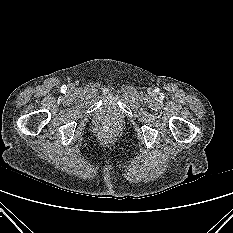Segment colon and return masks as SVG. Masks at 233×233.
<instances>
[{
	"instance_id": "5ec220e1",
	"label": "colon",
	"mask_w": 233,
	"mask_h": 233,
	"mask_svg": "<svg viewBox=\"0 0 233 233\" xmlns=\"http://www.w3.org/2000/svg\"><path fill=\"white\" fill-rule=\"evenodd\" d=\"M102 135H103L104 137H109V136H110V133H109L108 130H103V131H102Z\"/></svg>"
}]
</instances>
